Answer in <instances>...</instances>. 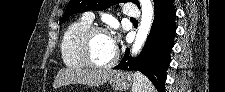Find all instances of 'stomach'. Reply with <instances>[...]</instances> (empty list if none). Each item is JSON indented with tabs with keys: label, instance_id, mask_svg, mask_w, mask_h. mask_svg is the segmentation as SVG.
<instances>
[{
	"label": "stomach",
	"instance_id": "1",
	"mask_svg": "<svg viewBox=\"0 0 225 92\" xmlns=\"http://www.w3.org/2000/svg\"><path fill=\"white\" fill-rule=\"evenodd\" d=\"M110 82L115 91H126L133 86V75L131 73L116 72Z\"/></svg>",
	"mask_w": 225,
	"mask_h": 92
}]
</instances>
